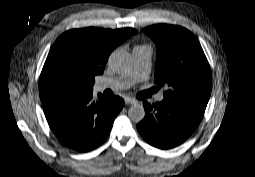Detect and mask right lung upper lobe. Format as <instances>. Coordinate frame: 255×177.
Listing matches in <instances>:
<instances>
[{
  "instance_id": "right-lung-upper-lobe-1",
  "label": "right lung upper lobe",
  "mask_w": 255,
  "mask_h": 177,
  "mask_svg": "<svg viewBox=\"0 0 255 177\" xmlns=\"http://www.w3.org/2000/svg\"><path fill=\"white\" fill-rule=\"evenodd\" d=\"M137 31L101 28L73 29L63 33L53 44L46 66L53 57L65 56L75 67L90 76L102 74L110 53Z\"/></svg>"
}]
</instances>
